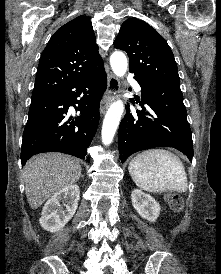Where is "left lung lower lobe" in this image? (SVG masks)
<instances>
[{
  "label": "left lung lower lobe",
  "mask_w": 221,
  "mask_h": 274,
  "mask_svg": "<svg viewBox=\"0 0 221 274\" xmlns=\"http://www.w3.org/2000/svg\"><path fill=\"white\" fill-rule=\"evenodd\" d=\"M134 79L142 89L138 101L142 109L126 106L118 131L121 162L135 152L153 147L176 148L192 161L193 142L183 95L159 91L145 77L135 75Z\"/></svg>",
  "instance_id": "1"
}]
</instances>
